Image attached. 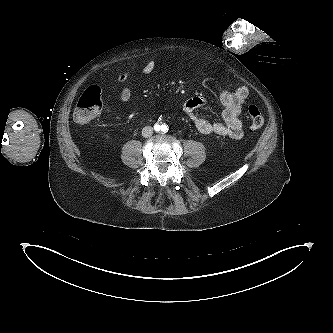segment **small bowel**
<instances>
[{"label": "small bowel", "mask_w": 333, "mask_h": 333, "mask_svg": "<svg viewBox=\"0 0 333 333\" xmlns=\"http://www.w3.org/2000/svg\"><path fill=\"white\" fill-rule=\"evenodd\" d=\"M155 62L148 61L142 68L146 74L153 71ZM249 90L242 85L234 90L225 89L220 94V102L223 106V121H209L200 117L197 110L203 107L206 100L202 97H194L188 99L183 104L184 112L192 119L197 130L202 134H216L219 136H227L232 139H240L243 135L240 114L242 107L248 98ZM131 97V89L124 87L118 94L121 102H127Z\"/></svg>", "instance_id": "1"}]
</instances>
